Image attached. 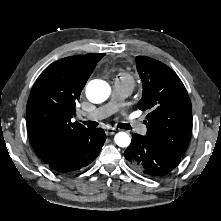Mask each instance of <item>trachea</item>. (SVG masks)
Here are the masks:
<instances>
[{"label":"trachea","instance_id":"3493384b","mask_svg":"<svg viewBox=\"0 0 221 221\" xmlns=\"http://www.w3.org/2000/svg\"><path fill=\"white\" fill-rule=\"evenodd\" d=\"M83 124L87 125L88 127H97L98 126V123L95 122V121H83ZM118 127L121 128V129H131V126L127 123H120L118 124Z\"/></svg>","mask_w":221,"mask_h":221}]
</instances>
